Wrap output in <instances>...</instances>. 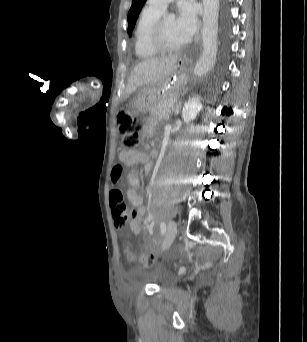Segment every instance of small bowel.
Here are the masks:
<instances>
[{
    "instance_id": "small-bowel-1",
    "label": "small bowel",
    "mask_w": 307,
    "mask_h": 342,
    "mask_svg": "<svg viewBox=\"0 0 307 342\" xmlns=\"http://www.w3.org/2000/svg\"><path fill=\"white\" fill-rule=\"evenodd\" d=\"M121 158L122 161L129 166L143 163L145 173H149L152 169V164L149 162L147 155L143 151L137 149L125 150L121 153ZM127 180L130 186L127 193L128 200L137 213L136 218L130 223V228L133 232H141L140 221L145 214L143 200L138 194V189L141 183L134 172H130L128 174ZM126 249H128V247H126Z\"/></svg>"
}]
</instances>
